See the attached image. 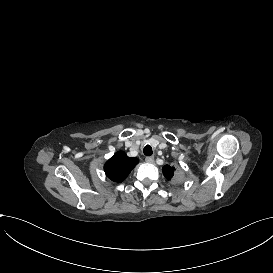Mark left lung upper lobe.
Segmentation results:
<instances>
[{
	"label": "left lung upper lobe",
	"mask_w": 273,
	"mask_h": 273,
	"mask_svg": "<svg viewBox=\"0 0 273 273\" xmlns=\"http://www.w3.org/2000/svg\"><path fill=\"white\" fill-rule=\"evenodd\" d=\"M175 171H176V169H175L173 166H170V165H165V166L162 168V172H163L164 176H165L168 180H171V179L174 177Z\"/></svg>",
	"instance_id": "obj_1"
}]
</instances>
